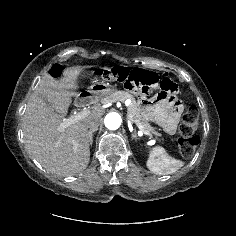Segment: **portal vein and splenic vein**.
<instances>
[{
  "mask_svg": "<svg viewBox=\"0 0 236 236\" xmlns=\"http://www.w3.org/2000/svg\"><path fill=\"white\" fill-rule=\"evenodd\" d=\"M89 114H90V111L84 109L81 112L71 116L70 118L64 119L63 122L60 125V128L64 129V128H66V127H68V126H70V125L80 121L81 119L87 117ZM133 122L139 128L141 133H144L145 135H149L148 132L143 131V128H142L141 124L138 121L134 120Z\"/></svg>",
  "mask_w": 236,
  "mask_h": 236,
  "instance_id": "1",
  "label": "portal vein and splenic vein"
}]
</instances>
